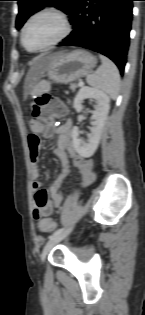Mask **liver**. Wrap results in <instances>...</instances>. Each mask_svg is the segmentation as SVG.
<instances>
[{
  "label": "liver",
  "mask_w": 145,
  "mask_h": 315,
  "mask_svg": "<svg viewBox=\"0 0 145 315\" xmlns=\"http://www.w3.org/2000/svg\"><path fill=\"white\" fill-rule=\"evenodd\" d=\"M59 54L56 53L48 56H42L36 59L35 63L29 70L25 83H24V95L27 96L28 93L34 88L35 84L39 78L44 74L45 70L50 66L53 59H55Z\"/></svg>",
  "instance_id": "1"
}]
</instances>
